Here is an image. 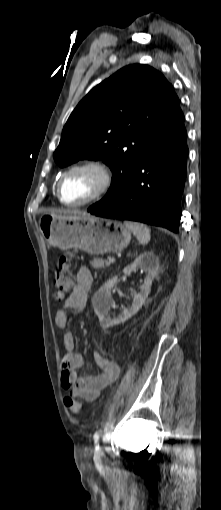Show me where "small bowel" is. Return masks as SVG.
Instances as JSON below:
<instances>
[{"mask_svg": "<svg viewBox=\"0 0 221 510\" xmlns=\"http://www.w3.org/2000/svg\"><path fill=\"white\" fill-rule=\"evenodd\" d=\"M76 285L73 293L67 297L63 308L55 316V323L60 328H65L69 323L67 310H82L86 305L87 295L93 283V277L87 267H80L75 276ZM65 354L62 359L61 382L65 389L70 391L71 396L82 397L87 401L96 399L100 392L112 384L119 376L120 369L113 358L101 355L93 350V358L96 369L82 376L77 375L78 370L85 367L83 357L76 352V338L72 332H67L63 337Z\"/></svg>", "mask_w": 221, "mask_h": 510, "instance_id": "small-bowel-1", "label": "small bowel"}]
</instances>
